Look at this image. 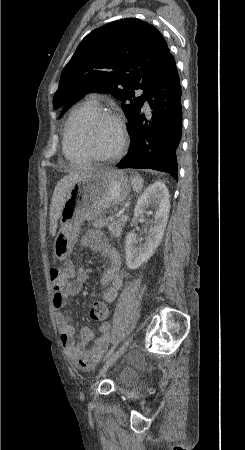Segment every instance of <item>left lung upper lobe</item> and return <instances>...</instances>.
Returning a JSON list of instances; mask_svg holds the SVG:
<instances>
[{"label": "left lung upper lobe", "mask_w": 245, "mask_h": 450, "mask_svg": "<svg viewBox=\"0 0 245 450\" xmlns=\"http://www.w3.org/2000/svg\"><path fill=\"white\" fill-rule=\"evenodd\" d=\"M171 56L163 36L149 23L135 18L108 23L88 34L64 67L54 108L63 107V114L85 94L112 92L122 101L129 128L148 86ZM138 89L143 94L134 98Z\"/></svg>", "instance_id": "1"}]
</instances>
